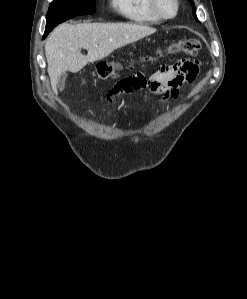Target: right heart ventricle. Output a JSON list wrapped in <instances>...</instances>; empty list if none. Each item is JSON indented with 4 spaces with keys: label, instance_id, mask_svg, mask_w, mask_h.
Wrapping results in <instances>:
<instances>
[{
    "label": "right heart ventricle",
    "instance_id": "1",
    "mask_svg": "<svg viewBox=\"0 0 247 299\" xmlns=\"http://www.w3.org/2000/svg\"><path fill=\"white\" fill-rule=\"evenodd\" d=\"M112 8L124 19L143 25H157L161 20L153 13L151 0H111Z\"/></svg>",
    "mask_w": 247,
    "mask_h": 299
}]
</instances>
